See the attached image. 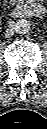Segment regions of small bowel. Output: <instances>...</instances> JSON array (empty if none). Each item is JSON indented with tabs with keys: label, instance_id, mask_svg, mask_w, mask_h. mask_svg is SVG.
<instances>
[{
	"label": "small bowel",
	"instance_id": "obj_1",
	"mask_svg": "<svg viewBox=\"0 0 47 129\" xmlns=\"http://www.w3.org/2000/svg\"><path fill=\"white\" fill-rule=\"evenodd\" d=\"M10 2L15 3V2H17V0H10Z\"/></svg>",
	"mask_w": 47,
	"mask_h": 129
}]
</instances>
